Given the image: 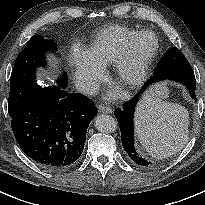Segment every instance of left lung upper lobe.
<instances>
[{
    "mask_svg": "<svg viewBox=\"0 0 205 205\" xmlns=\"http://www.w3.org/2000/svg\"><path fill=\"white\" fill-rule=\"evenodd\" d=\"M185 69H191L189 62L178 48L173 47L161 59L156 67L155 75Z\"/></svg>",
    "mask_w": 205,
    "mask_h": 205,
    "instance_id": "5c2ea615",
    "label": "left lung upper lobe"
}]
</instances>
